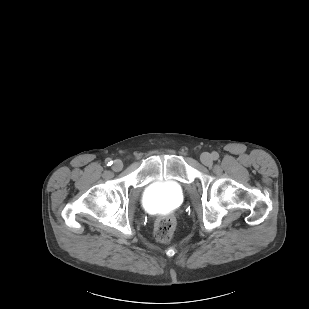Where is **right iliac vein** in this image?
Wrapping results in <instances>:
<instances>
[{
  "mask_svg": "<svg viewBox=\"0 0 309 309\" xmlns=\"http://www.w3.org/2000/svg\"><path fill=\"white\" fill-rule=\"evenodd\" d=\"M122 168H123V163H122L121 160L117 159V160H115V161L113 162L112 169H113L114 171H116V172H117V171H121Z\"/></svg>",
  "mask_w": 309,
  "mask_h": 309,
  "instance_id": "1",
  "label": "right iliac vein"
}]
</instances>
